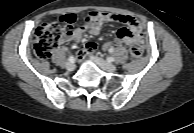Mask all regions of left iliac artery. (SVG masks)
I'll return each mask as SVG.
<instances>
[{"label":"left iliac artery","instance_id":"obj_1","mask_svg":"<svg viewBox=\"0 0 194 133\" xmlns=\"http://www.w3.org/2000/svg\"><path fill=\"white\" fill-rule=\"evenodd\" d=\"M114 60H115V59H114L113 57H108V58H107V61H108V62H113Z\"/></svg>","mask_w":194,"mask_h":133}]
</instances>
